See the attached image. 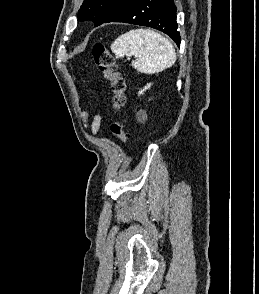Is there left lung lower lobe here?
<instances>
[{"mask_svg": "<svg viewBox=\"0 0 259 294\" xmlns=\"http://www.w3.org/2000/svg\"><path fill=\"white\" fill-rule=\"evenodd\" d=\"M107 22H124L155 28L169 35L180 46L173 0H124L110 12L103 23Z\"/></svg>", "mask_w": 259, "mask_h": 294, "instance_id": "1", "label": "left lung lower lobe"}]
</instances>
